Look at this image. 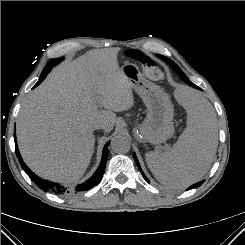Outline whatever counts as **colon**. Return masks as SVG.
<instances>
[{"label": "colon", "instance_id": "obj_1", "mask_svg": "<svg viewBox=\"0 0 245 245\" xmlns=\"http://www.w3.org/2000/svg\"><path fill=\"white\" fill-rule=\"evenodd\" d=\"M128 56L134 60H137L143 64L145 74L155 80H159L163 77V72L156 62L148 58L141 51L133 50L128 53Z\"/></svg>", "mask_w": 245, "mask_h": 245}]
</instances>
